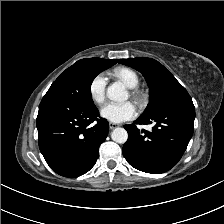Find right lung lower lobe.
Returning a JSON list of instances; mask_svg holds the SVG:
<instances>
[{
	"label": "right lung lower lobe",
	"mask_w": 224,
	"mask_h": 224,
	"mask_svg": "<svg viewBox=\"0 0 224 224\" xmlns=\"http://www.w3.org/2000/svg\"><path fill=\"white\" fill-rule=\"evenodd\" d=\"M96 107L77 106L58 97L44 96L37 116L39 148L53 171L78 177L96 163L109 123L98 119ZM95 120V126L90 125Z\"/></svg>",
	"instance_id": "1"
}]
</instances>
